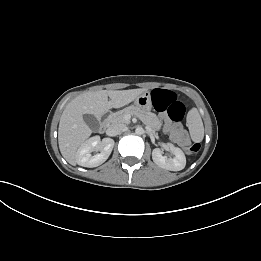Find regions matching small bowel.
<instances>
[{"mask_svg": "<svg viewBox=\"0 0 261 261\" xmlns=\"http://www.w3.org/2000/svg\"><path fill=\"white\" fill-rule=\"evenodd\" d=\"M165 130L169 133L170 138L175 143L182 144L187 142V134L180 124L165 120Z\"/></svg>", "mask_w": 261, "mask_h": 261, "instance_id": "c3829d8e", "label": "small bowel"}]
</instances>
